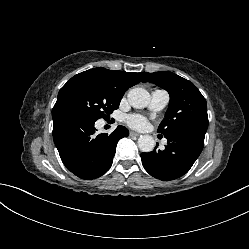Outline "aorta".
Masks as SVG:
<instances>
[{
    "mask_svg": "<svg viewBox=\"0 0 249 249\" xmlns=\"http://www.w3.org/2000/svg\"><path fill=\"white\" fill-rule=\"evenodd\" d=\"M128 102L134 108H144L150 101V94L142 88H134L128 92ZM138 147L142 152H150L155 147V140L150 135H141L138 139Z\"/></svg>",
    "mask_w": 249,
    "mask_h": 249,
    "instance_id": "aorta-1",
    "label": "aorta"
}]
</instances>
